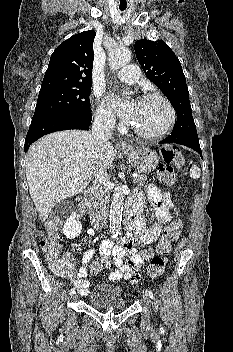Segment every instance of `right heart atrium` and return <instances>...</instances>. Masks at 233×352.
<instances>
[{"instance_id": "obj_1", "label": "right heart atrium", "mask_w": 233, "mask_h": 352, "mask_svg": "<svg viewBox=\"0 0 233 352\" xmlns=\"http://www.w3.org/2000/svg\"><path fill=\"white\" fill-rule=\"evenodd\" d=\"M96 120L104 126H113L115 124V117L112 111L103 104H100L96 111Z\"/></svg>"}]
</instances>
